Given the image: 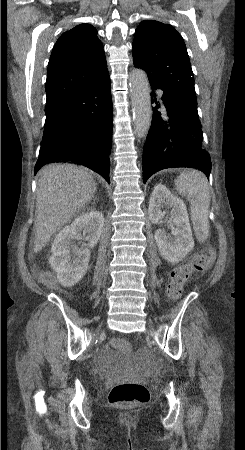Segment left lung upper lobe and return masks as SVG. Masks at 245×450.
<instances>
[{"label": "left lung upper lobe", "instance_id": "obj_1", "mask_svg": "<svg viewBox=\"0 0 245 450\" xmlns=\"http://www.w3.org/2000/svg\"><path fill=\"white\" fill-rule=\"evenodd\" d=\"M133 63L149 78L162 82L171 92L197 109L194 75L181 35L168 24L142 21L133 40Z\"/></svg>", "mask_w": 245, "mask_h": 450}]
</instances>
